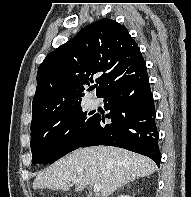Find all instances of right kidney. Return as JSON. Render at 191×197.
<instances>
[{"label":"right kidney","mask_w":191,"mask_h":197,"mask_svg":"<svg viewBox=\"0 0 191 197\" xmlns=\"http://www.w3.org/2000/svg\"><path fill=\"white\" fill-rule=\"evenodd\" d=\"M118 197H131V196H129V195H120Z\"/></svg>","instance_id":"right-kidney-1"}]
</instances>
